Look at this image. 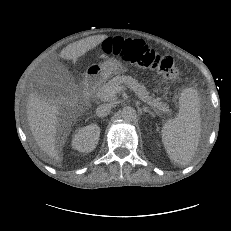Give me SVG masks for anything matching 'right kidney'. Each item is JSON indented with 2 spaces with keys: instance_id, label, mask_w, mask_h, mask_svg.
Masks as SVG:
<instances>
[{
  "instance_id": "right-kidney-1",
  "label": "right kidney",
  "mask_w": 231,
  "mask_h": 231,
  "mask_svg": "<svg viewBox=\"0 0 231 231\" xmlns=\"http://www.w3.org/2000/svg\"><path fill=\"white\" fill-rule=\"evenodd\" d=\"M99 136L100 127L97 124L79 128L73 136L72 147L81 153L91 152L96 148Z\"/></svg>"
}]
</instances>
